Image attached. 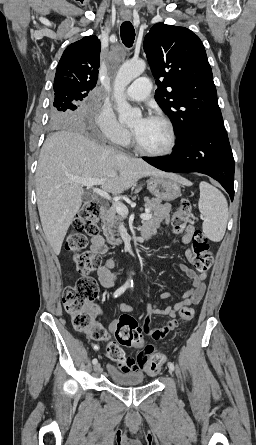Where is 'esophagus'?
<instances>
[{
	"instance_id": "1",
	"label": "esophagus",
	"mask_w": 256,
	"mask_h": 445,
	"mask_svg": "<svg viewBox=\"0 0 256 445\" xmlns=\"http://www.w3.org/2000/svg\"><path fill=\"white\" fill-rule=\"evenodd\" d=\"M124 19H125V20H130V18H129V17H125Z\"/></svg>"
}]
</instances>
